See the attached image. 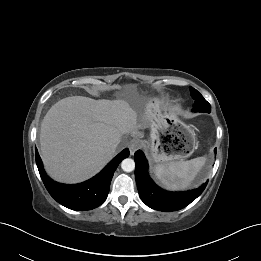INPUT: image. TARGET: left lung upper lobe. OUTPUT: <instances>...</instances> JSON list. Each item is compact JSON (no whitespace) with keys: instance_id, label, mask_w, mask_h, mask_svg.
Wrapping results in <instances>:
<instances>
[{"instance_id":"5c2ea615","label":"left lung upper lobe","mask_w":261,"mask_h":261,"mask_svg":"<svg viewBox=\"0 0 261 261\" xmlns=\"http://www.w3.org/2000/svg\"><path fill=\"white\" fill-rule=\"evenodd\" d=\"M190 93L195 100L192 111L195 112H211L210 104L203 98V96L194 88L190 87Z\"/></svg>"}]
</instances>
